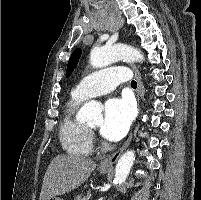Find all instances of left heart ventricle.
Masks as SVG:
<instances>
[{"instance_id":"left-heart-ventricle-1","label":"left heart ventricle","mask_w":201,"mask_h":200,"mask_svg":"<svg viewBox=\"0 0 201 200\" xmlns=\"http://www.w3.org/2000/svg\"><path fill=\"white\" fill-rule=\"evenodd\" d=\"M100 125V123H96V124H91V127H94V128H96V127H98Z\"/></svg>"}]
</instances>
